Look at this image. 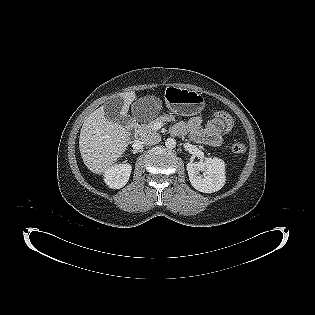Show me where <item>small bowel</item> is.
Instances as JSON below:
<instances>
[{"label":"small bowel","mask_w":315,"mask_h":315,"mask_svg":"<svg viewBox=\"0 0 315 315\" xmlns=\"http://www.w3.org/2000/svg\"><path fill=\"white\" fill-rule=\"evenodd\" d=\"M224 125L220 119L214 117L203 125L201 117L195 116L187 122L179 123L174 128V132L177 134L189 133L196 142L217 147L223 141L222 127Z\"/></svg>","instance_id":"1"}]
</instances>
